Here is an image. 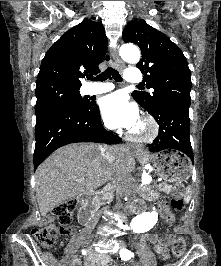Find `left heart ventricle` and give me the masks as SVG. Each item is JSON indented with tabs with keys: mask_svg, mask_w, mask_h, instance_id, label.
Here are the masks:
<instances>
[{
	"mask_svg": "<svg viewBox=\"0 0 221 266\" xmlns=\"http://www.w3.org/2000/svg\"><path fill=\"white\" fill-rule=\"evenodd\" d=\"M139 129V125L135 128V130H138Z\"/></svg>",
	"mask_w": 221,
	"mask_h": 266,
	"instance_id": "1",
	"label": "left heart ventricle"
}]
</instances>
